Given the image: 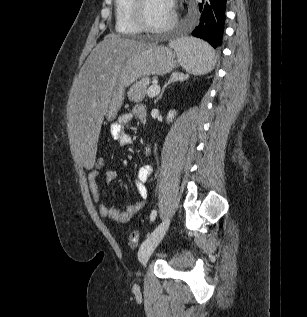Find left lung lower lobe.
Listing matches in <instances>:
<instances>
[{
    "label": "left lung lower lobe",
    "instance_id": "obj_1",
    "mask_svg": "<svg viewBox=\"0 0 307 317\" xmlns=\"http://www.w3.org/2000/svg\"><path fill=\"white\" fill-rule=\"evenodd\" d=\"M198 9L199 20L193 27L192 35L217 48L221 45L224 31L226 0H202Z\"/></svg>",
    "mask_w": 307,
    "mask_h": 317
}]
</instances>
